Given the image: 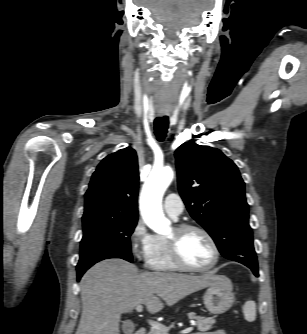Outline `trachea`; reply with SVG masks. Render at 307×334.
<instances>
[{
  "instance_id": "obj_1",
  "label": "trachea",
  "mask_w": 307,
  "mask_h": 334,
  "mask_svg": "<svg viewBox=\"0 0 307 334\" xmlns=\"http://www.w3.org/2000/svg\"><path fill=\"white\" fill-rule=\"evenodd\" d=\"M168 126H169V119L167 116L157 117L155 119L154 130L158 141L160 142L164 141L167 134Z\"/></svg>"
}]
</instances>
